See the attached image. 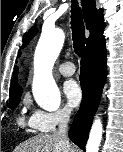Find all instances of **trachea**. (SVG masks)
<instances>
[{
  "mask_svg": "<svg viewBox=\"0 0 123 152\" xmlns=\"http://www.w3.org/2000/svg\"><path fill=\"white\" fill-rule=\"evenodd\" d=\"M72 15H71V29L73 37L74 52L77 55H82L85 47L84 24L81 10L78 7L77 0H72Z\"/></svg>",
  "mask_w": 123,
  "mask_h": 152,
  "instance_id": "1",
  "label": "trachea"
}]
</instances>
